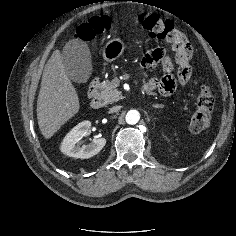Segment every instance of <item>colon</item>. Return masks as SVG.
<instances>
[{
	"label": "colon",
	"mask_w": 236,
	"mask_h": 236,
	"mask_svg": "<svg viewBox=\"0 0 236 236\" xmlns=\"http://www.w3.org/2000/svg\"><path fill=\"white\" fill-rule=\"evenodd\" d=\"M139 23L147 30L149 37L155 40L170 42L176 52H180L188 45L187 39L175 29L173 23L156 14H142ZM113 26L108 17L95 16L81 23L76 30V37L82 41L90 42L97 36L109 31ZM184 83L187 77H183ZM214 107V97L211 89L203 85L197 98V109L190 120V130L193 133H200L210 125L211 112Z\"/></svg>",
	"instance_id": "obj_1"
}]
</instances>
